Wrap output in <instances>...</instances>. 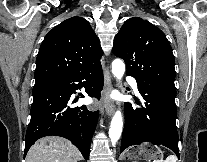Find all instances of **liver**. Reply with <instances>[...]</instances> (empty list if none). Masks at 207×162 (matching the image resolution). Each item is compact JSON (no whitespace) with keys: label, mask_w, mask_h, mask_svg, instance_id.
I'll return each instance as SVG.
<instances>
[{"label":"liver","mask_w":207,"mask_h":162,"mask_svg":"<svg viewBox=\"0 0 207 162\" xmlns=\"http://www.w3.org/2000/svg\"><path fill=\"white\" fill-rule=\"evenodd\" d=\"M81 159V153L69 140L57 136L39 139L26 156V162H77Z\"/></svg>","instance_id":"liver-1"}]
</instances>
